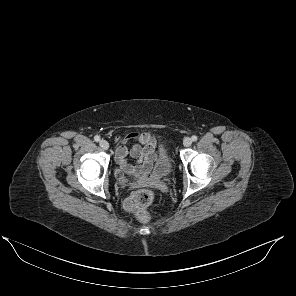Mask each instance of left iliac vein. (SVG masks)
Masks as SVG:
<instances>
[{
    "label": "left iliac vein",
    "instance_id": "obj_1",
    "mask_svg": "<svg viewBox=\"0 0 296 296\" xmlns=\"http://www.w3.org/2000/svg\"><path fill=\"white\" fill-rule=\"evenodd\" d=\"M191 144H192V139H191L190 137H186V138H184V140H183V145H184L185 147H190Z\"/></svg>",
    "mask_w": 296,
    "mask_h": 296
}]
</instances>
